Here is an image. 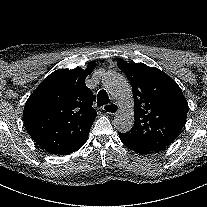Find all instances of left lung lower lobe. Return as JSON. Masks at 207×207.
Listing matches in <instances>:
<instances>
[{
	"label": "left lung lower lobe",
	"instance_id": "1",
	"mask_svg": "<svg viewBox=\"0 0 207 207\" xmlns=\"http://www.w3.org/2000/svg\"><path fill=\"white\" fill-rule=\"evenodd\" d=\"M119 137H120V140L122 141V143L128 147L127 140L120 133H119ZM132 150L135 151L136 153L145 154V155L154 153V152L146 151L143 149H132Z\"/></svg>",
	"mask_w": 207,
	"mask_h": 207
}]
</instances>
